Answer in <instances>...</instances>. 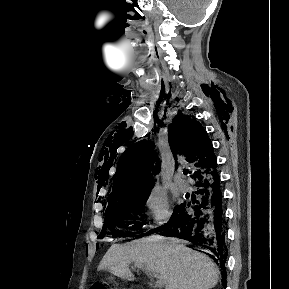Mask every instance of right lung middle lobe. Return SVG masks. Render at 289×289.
I'll list each match as a JSON object with an SVG mask.
<instances>
[{"label":"right lung middle lobe","mask_w":289,"mask_h":289,"mask_svg":"<svg viewBox=\"0 0 289 289\" xmlns=\"http://www.w3.org/2000/svg\"><path fill=\"white\" fill-rule=\"evenodd\" d=\"M150 195V192L137 194L127 199L109 205L105 212V224L98 238H103L106 230H111L114 237H139L137 232L124 233L119 230L125 227L124 220L136 221L138 215L144 210L145 203ZM177 208V207H176ZM130 224V222H127ZM142 226L137 223H132V228L135 230L140 229Z\"/></svg>","instance_id":"1"}]
</instances>
